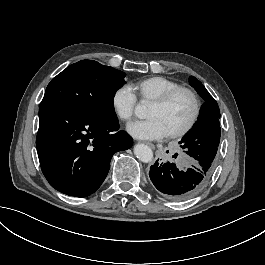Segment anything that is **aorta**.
Listing matches in <instances>:
<instances>
[{"mask_svg":"<svg viewBox=\"0 0 265 265\" xmlns=\"http://www.w3.org/2000/svg\"><path fill=\"white\" fill-rule=\"evenodd\" d=\"M134 114L140 119L147 118L146 103H138L134 108ZM134 154L142 163H150L153 160L154 153L147 145L139 144L134 148Z\"/></svg>","mask_w":265,"mask_h":265,"instance_id":"obj_1","label":"aorta"}]
</instances>
